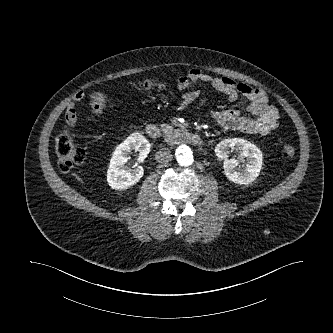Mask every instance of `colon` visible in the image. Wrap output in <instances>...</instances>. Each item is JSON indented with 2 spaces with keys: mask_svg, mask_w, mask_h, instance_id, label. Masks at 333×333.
I'll return each mask as SVG.
<instances>
[{
  "mask_svg": "<svg viewBox=\"0 0 333 333\" xmlns=\"http://www.w3.org/2000/svg\"><path fill=\"white\" fill-rule=\"evenodd\" d=\"M142 88H162L164 83L159 78L145 79L141 85ZM91 106L95 113L100 112L104 106V95L96 94L91 97ZM54 152L58 160L59 168L62 172L68 173L75 167L83 164L86 159L85 152L76 146L71 134L68 131H63L59 134L54 142ZM283 157L293 158L296 155V149L286 144L282 150Z\"/></svg>",
  "mask_w": 333,
  "mask_h": 333,
  "instance_id": "5ec220e1",
  "label": "colon"
}]
</instances>
